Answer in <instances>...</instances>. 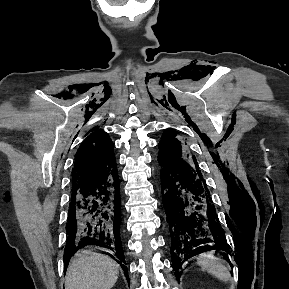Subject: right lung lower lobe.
Listing matches in <instances>:
<instances>
[{
	"label": "right lung lower lobe",
	"instance_id": "right-lung-lower-lobe-1",
	"mask_svg": "<svg viewBox=\"0 0 289 289\" xmlns=\"http://www.w3.org/2000/svg\"><path fill=\"white\" fill-rule=\"evenodd\" d=\"M120 205L117 171L72 189L66 224L65 269L79 248L97 246L106 249L121 265L129 282L122 249Z\"/></svg>",
	"mask_w": 289,
	"mask_h": 289
}]
</instances>
